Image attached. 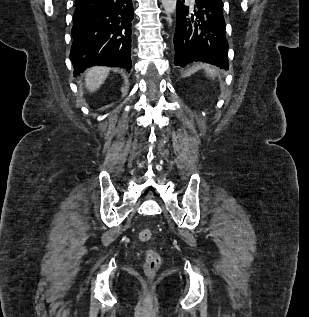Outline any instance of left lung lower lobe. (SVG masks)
Returning <instances> with one entry per match:
<instances>
[{"mask_svg":"<svg viewBox=\"0 0 309 317\" xmlns=\"http://www.w3.org/2000/svg\"><path fill=\"white\" fill-rule=\"evenodd\" d=\"M174 35L175 65L207 62L227 69L228 42L221 0H194L187 6L177 0Z\"/></svg>","mask_w":309,"mask_h":317,"instance_id":"1","label":"left lung lower lobe"}]
</instances>
